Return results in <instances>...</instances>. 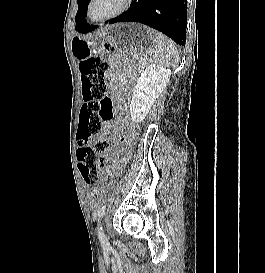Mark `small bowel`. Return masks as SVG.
<instances>
[{"instance_id":"small-bowel-1","label":"small bowel","mask_w":265,"mask_h":273,"mask_svg":"<svg viewBox=\"0 0 265 273\" xmlns=\"http://www.w3.org/2000/svg\"><path fill=\"white\" fill-rule=\"evenodd\" d=\"M109 62H110V64L114 67V65H115V59H114V58H111V59H109ZM108 80L110 81V83H111V85H112L113 87L116 86V78H115V71H114V69H112V70L110 71V73H109V75H108ZM122 123H123L124 126H128V127L131 126V124H130L125 118L122 119ZM114 127H116V126H114ZM109 130H110V126L108 125V126H106L105 129H104V135H108V134H109ZM101 158H102V160H103V162H104L105 164L109 163L110 158H111V153H110V151H109V150L105 151V152L102 154ZM94 204H96V202H94Z\"/></svg>"}]
</instances>
